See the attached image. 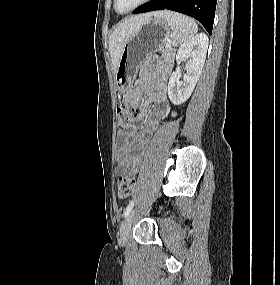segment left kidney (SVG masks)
<instances>
[{"label":"left kidney","mask_w":280,"mask_h":285,"mask_svg":"<svg viewBox=\"0 0 280 285\" xmlns=\"http://www.w3.org/2000/svg\"><path fill=\"white\" fill-rule=\"evenodd\" d=\"M208 37L200 33L184 42L178 49L177 63L187 61L186 74L179 81L181 74L173 72L168 83V96L174 105L184 103L192 94L206 59Z\"/></svg>","instance_id":"left-kidney-1"}]
</instances>
